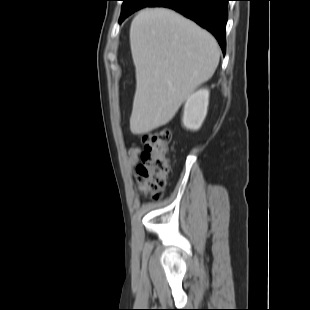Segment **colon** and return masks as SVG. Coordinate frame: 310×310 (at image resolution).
Returning a JSON list of instances; mask_svg holds the SVG:
<instances>
[{"label": "colon", "instance_id": "5ec220e1", "mask_svg": "<svg viewBox=\"0 0 310 310\" xmlns=\"http://www.w3.org/2000/svg\"><path fill=\"white\" fill-rule=\"evenodd\" d=\"M171 132L161 128L143 136L142 164L137 167L138 188L151 198H158L170 170L169 143Z\"/></svg>", "mask_w": 310, "mask_h": 310}]
</instances>
